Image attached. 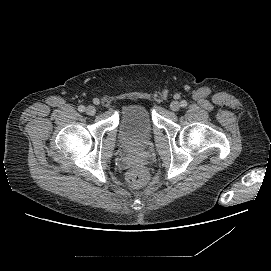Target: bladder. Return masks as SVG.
<instances>
[{
  "mask_svg": "<svg viewBox=\"0 0 271 271\" xmlns=\"http://www.w3.org/2000/svg\"><path fill=\"white\" fill-rule=\"evenodd\" d=\"M152 129V117L146 106L136 103L123 109L119 119V136L125 146H143L150 139Z\"/></svg>",
  "mask_w": 271,
  "mask_h": 271,
  "instance_id": "bladder-1",
  "label": "bladder"
}]
</instances>
